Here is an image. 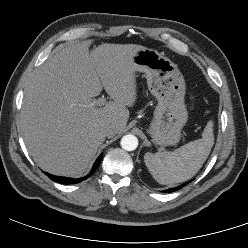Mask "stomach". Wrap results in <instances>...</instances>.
I'll return each mask as SVG.
<instances>
[{"label":"stomach","instance_id":"obj_1","mask_svg":"<svg viewBox=\"0 0 248 248\" xmlns=\"http://www.w3.org/2000/svg\"><path fill=\"white\" fill-rule=\"evenodd\" d=\"M133 62L136 71L145 73L148 88L158 101L148 130L153 142L160 146L176 145L188 119L183 75L176 64L154 49L138 51Z\"/></svg>","mask_w":248,"mask_h":248}]
</instances>
